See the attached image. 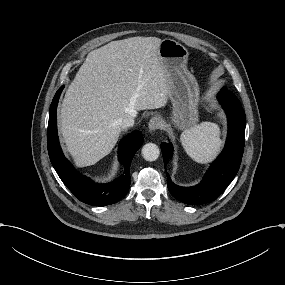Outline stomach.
I'll return each instance as SVG.
<instances>
[{"label": "stomach", "mask_w": 285, "mask_h": 285, "mask_svg": "<svg viewBox=\"0 0 285 285\" xmlns=\"http://www.w3.org/2000/svg\"><path fill=\"white\" fill-rule=\"evenodd\" d=\"M188 55L187 49L172 39L162 40L158 49V59L168 79L169 98L173 105L171 121L180 130L195 126L199 120L200 90L196 78L187 69Z\"/></svg>", "instance_id": "obj_1"}]
</instances>
